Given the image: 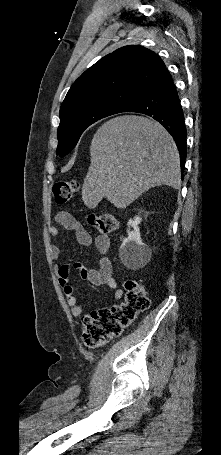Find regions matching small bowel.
<instances>
[{
	"instance_id": "small-bowel-1",
	"label": "small bowel",
	"mask_w": 221,
	"mask_h": 455,
	"mask_svg": "<svg viewBox=\"0 0 221 455\" xmlns=\"http://www.w3.org/2000/svg\"><path fill=\"white\" fill-rule=\"evenodd\" d=\"M57 221L66 229L74 232L81 245H91V235L75 216L66 212H61L57 216ZM50 234L52 236H58L59 229L56 226H51ZM94 244L99 254L98 265L96 267L87 268L83 264L76 262L63 263L57 268L58 283L64 289L66 300L73 316L82 315L84 313V309L78 303V299L74 294L73 286L69 284V274L71 269L78 270L80 276L92 285H106L114 290L115 299L119 300L123 297V290L118 286V283L112 274V263L108 256L110 251L109 237L106 235H97L94 239ZM50 254L53 259H59L61 257L60 247L52 245L50 248Z\"/></svg>"
}]
</instances>
